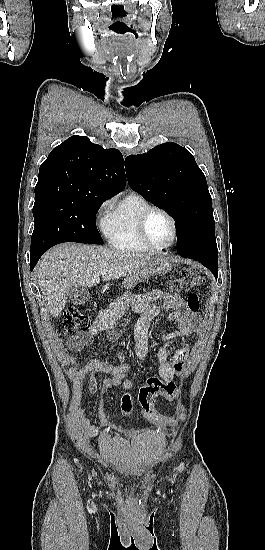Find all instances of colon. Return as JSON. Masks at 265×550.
I'll use <instances>...</instances> for the list:
<instances>
[{"instance_id": "colon-1", "label": "colon", "mask_w": 265, "mask_h": 550, "mask_svg": "<svg viewBox=\"0 0 265 550\" xmlns=\"http://www.w3.org/2000/svg\"><path fill=\"white\" fill-rule=\"evenodd\" d=\"M202 282V277L192 268L183 269L179 276L170 283V288L176 291H189ZM187 305L192 313L199 309V299L194 293L187 298ZM63 328L66 332L85 331L90 328V319L87 314L77 307H68L63 314ZM165 395L168 400H175L177 390L173 385H168L159 377H152L140 387L138 391V404L142 414L150 420H158L161 417L155 409L157 397ZM163 418V417H162ZM166 418V417H165ZM164 419V418H163ZM164 423L168 424L167 418Z\"/></svg>"}]
</instances>
